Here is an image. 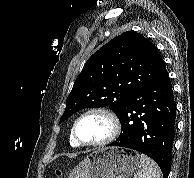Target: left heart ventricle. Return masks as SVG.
Masks as SVG:
<instances>
[{
	"instance_id": "1",
	"label": "left heart ventricle",
	"mask_w": 194,
	"mask_h": 178,
	"mask_svg": "<svg viewBox=\"0 0 194 178\" xmlns=\"http://www.w3.org/2000/svg\"><path fill=\"white\" fill-rule=\"evenodd\" d=\"M110 131L108 120L100 114H90L80 120L77 136L83 142L91 143L104 139Z\"/></svg>"
}]
</instances>
